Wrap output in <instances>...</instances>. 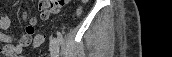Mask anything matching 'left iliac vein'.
<instances>
[{"label": "left iliac vein", "instance_id": "4c4485c4", "mask_svg": "<svg viewBox=\"0 0 172 57\" xmlns=\"http://www.w3.org/2000/svg\"><path fill=\"white\" fill-rule=\"evenodd\" d=\"M50 52L52 57H59V41L55 37L50 38Z\"/></svg>", "mask_w": 172, "mask_h": 57}]
</instances>
